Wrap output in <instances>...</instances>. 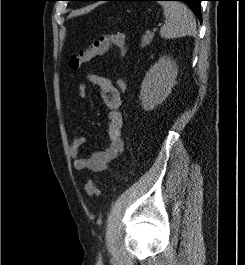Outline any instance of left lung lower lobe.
<instances>
[{"label":"left lung lower lobe","instance_id":"obj_1","mask_svg":"<svg viewBox=\"0 0 245 265\" xmlns=\"http://www.w3.org/2000/svg\"><path fill=\"white\" fill-rule=\"evenodd\" d=\"M83 1H101V0H83ZM107 1H124V0H107ZM153 1H162V0H153ZM176 1H184L185 3H187L195 12V14L198 16V18L202 21L200 2L203 0H176Z\"/></svg>","mask_w":245,"mask_h":265}]
</instances>
